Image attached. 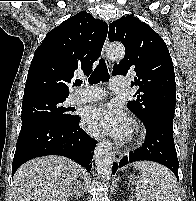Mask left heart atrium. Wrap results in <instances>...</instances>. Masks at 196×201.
<instances>
[{"mask_svg":"<svg viewBox=\"0 0 196 201\" xmlns=\"http://www.w3.org/2000/svg\"><path fill=\"white\" fill-rule=\"evenodd\" d=\"M85 128L93 135H110L119 141L132 133V120L119 106L105 104L89 107L83 115Z\"/></svg>","mask_w":196,"mask_h":201,"instance_id":"39dd6f15","label":"left heart atrium"}]
</instances>
